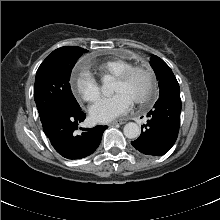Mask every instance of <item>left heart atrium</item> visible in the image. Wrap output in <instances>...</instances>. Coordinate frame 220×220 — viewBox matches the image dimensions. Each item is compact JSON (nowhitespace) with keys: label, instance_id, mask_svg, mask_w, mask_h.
I'll return each mask as SVG.
<instances>
[{"label":"left heart atrium","instance_id":"left-heart-atrium-1","mask_svg":"<svg viewBox=\"0 0 220 220\" xmlns=\"http://www.w3.org/2000/svg\"><path fill=\"white\" fill-rule=\"evenodd\" d=\"M133 99L126 93L102 98L90 108L91 118L95 122L106 123L126 114L133 105Z\"/></svg>","mask_w":220,"mask_h":220}]
</instances>
